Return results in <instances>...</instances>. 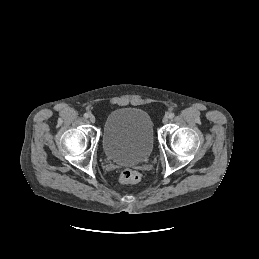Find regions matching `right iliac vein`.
I'll return each instance as SVG.
<instances>
[{
	"label": "right iliac vein",
	"mask_w": 259,
	"mask_h": 259,
	"mask_svg": "<svg viewBox=\"0 0 259 259\" xmlns=\"http://www.w3.org/2000/svg\"><path fill=\"white\" fill-rule=\"evenodd\" d=\"M89 120H90L91 123H95V121H96V119L93 115L89 116Z\"/></svg>",
	"instance_id": "obj_1"
}]
</instances>
